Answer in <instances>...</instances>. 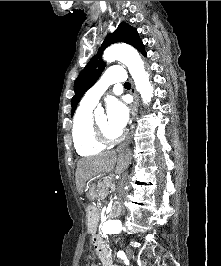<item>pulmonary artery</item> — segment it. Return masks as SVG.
<instances>
[{
  "instance_id": "e3ab8cb5",
  "label": "pulmonary artery",
  "mask_w": 221,
  "mask_h": 266,
  "mask_svg": "<svg viewBox=\"0 0 221 266\" xmlns=\"http://www.w3.org/2000/svg\"><path fill=\"white\" fill-rule=\"evenodd\" d=\"M125 79L126 74L122 66L114 65L109 67L101 78L87 91L81 104L88 107L96 106L99 98L112 83L124 82Z\"/></svg>"
}]
</instances>
